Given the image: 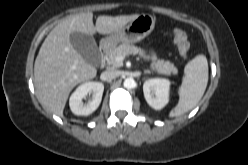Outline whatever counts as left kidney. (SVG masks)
Returning <instances> with one entry per match:
<instances>
[{
    "mask_svg": "<svg viewBox=\"0 0 248 165\" xmlns=\"http://www.w3.org/2000/svg\"><path fill=\"white\" fill-rule=\"evenodd\" d=\"M171 82L165 78H151L144 82V97L152 108L161 110L169 101Z\"/></svg>",
    "mask_w": 248,
    "mask_h": 165,
    "instance_id": "1",
    "label": "left kidney"
}]
</instances>
